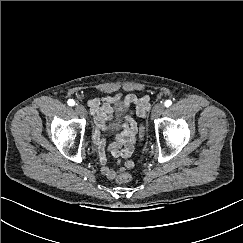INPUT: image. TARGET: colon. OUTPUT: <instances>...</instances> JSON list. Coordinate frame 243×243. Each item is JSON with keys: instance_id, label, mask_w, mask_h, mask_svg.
Masks as SVG:
<instances>
[{"instance_id": "colon-1", "label": "colon", "mask_w": 243, "mask_h": 243, "mask_svg": "<svg viewBox=\"0 0 243 243\" xmlns=\"http://www.w3.org/2000/svg\"><path fill=\"white\" fill-rule=\"evenodd\" d=\"M140 133L143 135L144 133V127H140ZM133 167V164L131 162H126L123 166V172L117 177L116 181L118 183H127L132 180V175L128 172Z\"/></svg>"}]
</instances>
